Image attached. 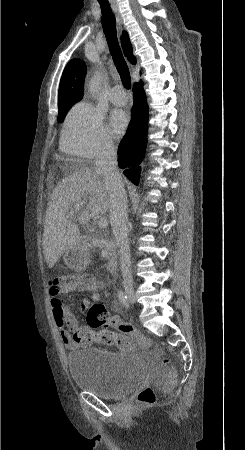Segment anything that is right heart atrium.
I'll use <instances>...</instances> for the list:
<instances>
[{"label": "right heart atrium", "mask_w": 245, "mask_h": 450, "mask_svg": "<svg viewBox=\"0 0 245 450\" xmlns=\"http://www.w3.org/2000/svg\"><path fill=\"white\" fill-rule=\"evenodd\" d=\"M113 148L103 115L88 102L74 105L65 117L61 149L76 158L94 159Z\"/></svg>", "instance_id": "d8ad5b80"}]
</instances>
